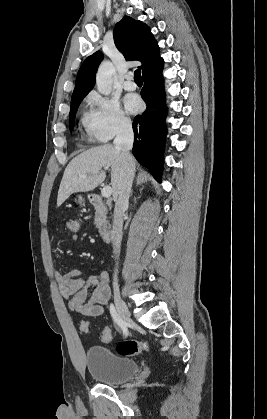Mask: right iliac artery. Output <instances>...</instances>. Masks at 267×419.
Wrapping results in <instances>:
<instances>
[{"instance_id":"right-iliac-artery-1","label":"right iliac artery","mask_w":267,"mask_h":419,"mask_svg":"<svg viewBox=\"0 0 267 419\" xmlns=\"http://www.w3.org/2000/svg\"><path fill=\"white\" fill-rule=\"evenodd\" d=\"M110 313L115 323L122 329L124 337H127L128 330L126 323L121 319L113 304H110Z\"/></svg>"}]
</instances>
